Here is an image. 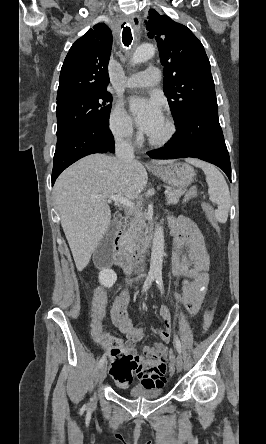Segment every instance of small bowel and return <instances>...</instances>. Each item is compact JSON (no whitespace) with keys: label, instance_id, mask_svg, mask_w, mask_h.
Segmentation results:
<instances>
[{"label":"small bowel","instance_id":"c3829d8e","mask_svg":"<svg viewBox=\"0 0 266 444\" xmlns=\"http://www.w3.org/2000/svg\"><path fill=\"white\" fill-rule=\"evenodd\" d=\"M169 226L175 235V254L172 270L176 276L183 277L181 294L173 293L174 302L180 303L189 314L199 312L207 291L209 281V260L202 236L196 225L186 217L171 218ZM129 302L127 291L121 292L115 299L111 316L115 326L126 335V341L111 336L103 331V319L106 313L107 293L98 287L92 297L90 332L95 342L108 348L111 359L110 374L116 386L122 389L130 387L136 375L143 388H163L166 383L165 373L169 352L165 344L170 341L172 332L171 313L166 306H161L159 315L165 323L163 329L155 330L163 343L144 350L147 359L136 353V344L143 338L142 328L132 324L126 306Z\"/></svg>","mask_w":266,"mask_h":444}]
</instances>
